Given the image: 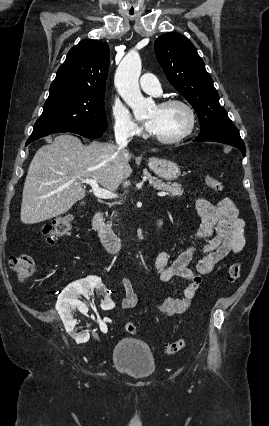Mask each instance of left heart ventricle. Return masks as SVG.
<instances>
[{"label": "left heart ventricle", "mask_w": 269, "mask_h": 426, "mask_svg": "<svg viewBox=\"0 0 269 426\" xmlns=\"http://www.w3.org/2000/svg\"><path fill=\"white\" fill-rule=\"evenodd\" d=\"M145 119L151 123L149 131L163 138L179 135L187 128L189 123L186 110L177 105L155 106L147 113Z\"/></svg>", "instance_id": "b2bd125f"}]
</instances>
